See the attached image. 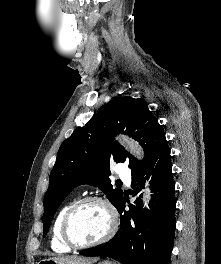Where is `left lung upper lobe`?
<instances>
[{
  "instance_id": "obj_1",
  "label": "left lung upper lobe",
  "mask_w": 221,
  "mask_h": 264,
  "mask_svg": "<svg viewBox=\"0 0 221 264\" xmlns=\"http://www.w3.org/2000/svg\"><path fill=\"white\" fill-rule=\"evenodd\" d=\"M119 133L131 136L143 145V160L135 159L114 141ZM164 140L163 128L143 101L126 96L109 102L59 148L43 202V236H46L59 205L80 184L99 187L117 208L124 193L111 184L110 163L129 161L132 175L139 173L150 163Z\"/></svg>"
}]
</instances>
